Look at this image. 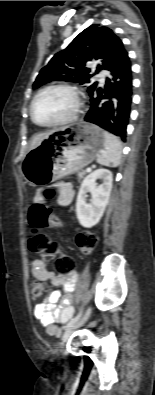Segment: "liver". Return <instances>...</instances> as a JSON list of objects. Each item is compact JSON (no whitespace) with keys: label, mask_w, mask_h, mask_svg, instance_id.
Returning a JSON list of instances; mask_svg holds the SVG:
<instances>
[{"label":"liver","mask_w":155,"mask_h":395,"mask_svg":"<svg viewBox=\"0 0 155 395\" xmlns=\"http://www.w3.org/2000/svg\"><path fill=\"white\" fill-rule=\"evenodd\" d=\"M54 131L40 133L33 137L30 148L33 149L38 146L43 140L47 139Z\"/></svg>","instance_id":"6515ba94"}]
</instances>
